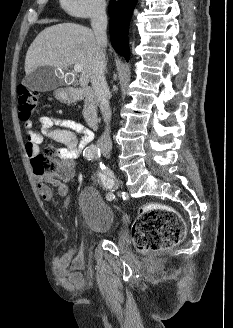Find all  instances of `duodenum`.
<instances>
[{"mask_svg":"<svg viewBox=\"0 0 233 328\" xmlns=\"http://www.w3.org/2000/svg\"><path fill=\"white\" fill-rule=\"evenodd\" d=\"M61 98L69 103L83 101V116L87 124L92 128L98 127V112L95 101V94L90 87L64 88L61 91Z\"/></svg>","mask_w":233,"mask_h":328,"instance_id":"duodenum-1","label":"duodenum"}]
</instances>
